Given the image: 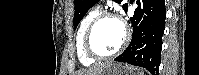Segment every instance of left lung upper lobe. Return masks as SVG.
<instances>
[{"label": "left lung upper lobe", "mask_w": 199, "mask_h": 75, "mask_svg": "<svg viewBox=\"0 0 199 75\" xmlns=\"http://www.w3.org/2000/svg\"><path fill=\"white\" fill-rule=\"evenodd\" d=\"M99 0H75V14H74V20L73 25L74 29H76L79 22L82 20L84 15L88 12V10L94 6ZM116 2H121V0H114ZM123 9L127 10V4H124Z\"/></svg>", "instance_id": "1"}]
</instances>
